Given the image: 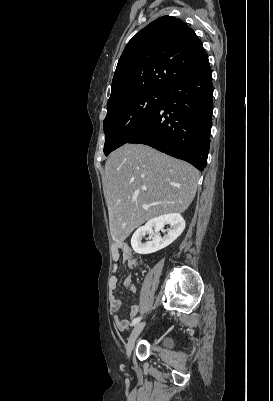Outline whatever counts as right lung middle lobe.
<instances>
[{"label": "right lung middle lobe", "mask_w": 273, "mask_h": 401, "mask_svg": "<svg viewBox=\"0 0 273 401\" xmlns=\"http://www.w3.org/2000/svg\"><path fill=\"white\" fill-rule=\"evenodd\" d=\"M163 95L164 92L158 90L142 91L107 105V116L103 122L106 156L127 143L161 104Z\"/></svg>", "instance_id": "1"}]
</instances>
